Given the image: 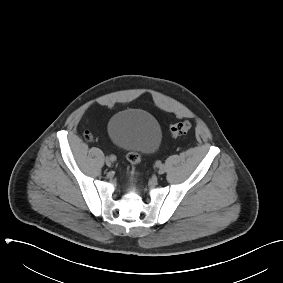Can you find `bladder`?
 I'll use <instances>...</instances> for the list:
<instances>
[{"label":"bladder","instance_id":"1","mask_svg":"<svg viewBox=\"0 0 283 283\" xmlns=\"http://www.w3.org/2000/svg\"><path fill=\"white\" fill-rule=\"evenodd\" d=\"M111 141L121 149L152 154L160 146L162 131L157 119L141 109H126L113 115L107 127Z\"/></svg>","mask_w":283,"mask_h":283}]
</instances>
